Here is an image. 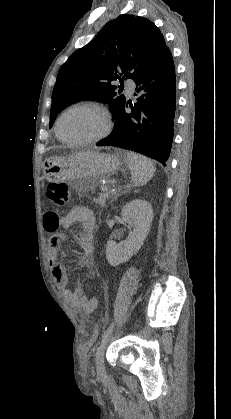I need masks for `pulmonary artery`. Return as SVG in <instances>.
Wrapping results in <instances>:
<instances>
[{"mask_svg": "<svg viewBox=\"0 0 231 419\" xmlns=\"http://www.w3.org/2000/svg\"><path fill=\"white\" fill-rule=\"evenodd\" d=\"M126 91L129 95L132 94L134 88H135V82L132 79H128L125 82Z\"/></svg>", "mask_w": 231, "mask_h": 419, "instance_id": "obj_1", "label": "pulmonary artery"}]
</instances>
